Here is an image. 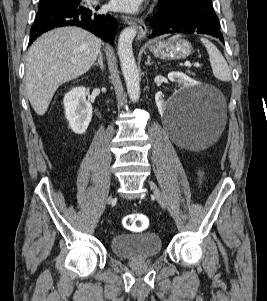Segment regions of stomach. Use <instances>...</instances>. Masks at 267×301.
<instances>
[{
    "mask_svg": "<svg viewBox=\"0 0 267 301\" xmlns=\"http://www.w3.org/2000/svg\"><path fill=\"white\" fill-rule=\"evenodd\" d=\"M155 57L167 60L184 59L192 53L191 44L182 39L154 42L150 46Z\"/></svg>",
    "mask_w": 267,
    "mask_h": 301,
    "instance_id": "0dacf381",
    "label": "stomach"
}]
</instances>
